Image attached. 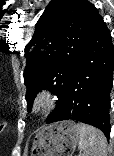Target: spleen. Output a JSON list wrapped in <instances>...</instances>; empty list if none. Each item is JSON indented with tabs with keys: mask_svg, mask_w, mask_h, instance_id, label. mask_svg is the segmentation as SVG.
<instances>
[{
	"mask_svg": "<svg viewBox=\"0 0 114 156\" xmlns=\"http://www.w3.org/2000/svg\"><path fill=\"white\" fill-rule=\"evenodd\" d=\"M76 127L82 156H107L106 137L100 130L84 123H78Z\"/></svg>",
	"mask_w": 114,
	"mask_h": 156,
	"instance_id": "1",
	"label": "spleen"
}]
</instances>
